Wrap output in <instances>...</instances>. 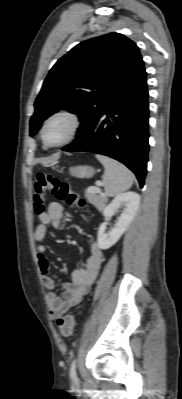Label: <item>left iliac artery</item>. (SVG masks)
Listing matches in <instances>:
<instances>
[{
    "mask_svg": "<svg viewBox=\"0 0 182 399\" xmlns=\"http://www.w3.org/2000/svg\"><path fill=\"white\" fill-rule=\"evenodd\" d=\"M70 376L76 377V359H73L70 367Z\"/></svg>",
    "mask_w": 182,
    "mask_h": 399,
    "instance_id": "1",
    "label": "left iliac artery"
}]
</instances>
